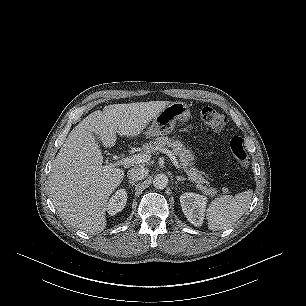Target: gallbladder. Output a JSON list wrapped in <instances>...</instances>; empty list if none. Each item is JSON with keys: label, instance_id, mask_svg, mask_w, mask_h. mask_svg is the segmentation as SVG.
<instances>
[{"label": "gallbladder", "instance_id": "gallbladder-1", "mask_svg": "<svg viewBox=\"0 0 306 306\" xmlns=\"http://www.w3.org/2000/svg\"><path fill=\"white\" fill-rule=\"evenodd\" d=\"M94 136H95L96 142L101 143L99 136L98 135H94Z\"/></svg>", "mask_w": 306, "mask_h": 306}]
</instances>
